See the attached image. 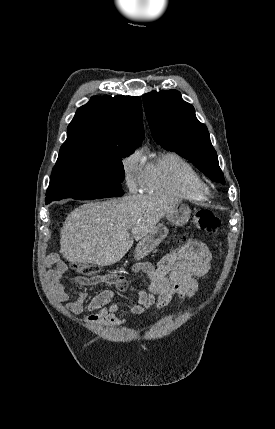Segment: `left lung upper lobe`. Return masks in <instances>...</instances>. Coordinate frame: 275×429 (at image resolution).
<instances>
[{"label":"left lung upper lobe","mask_w":275,"mask_h":429,"mask_svg":"<svg viewBox=\"0 0 275 429\" xmlns=\"http://www.w3.org/2000/svg\"><path fill=\"white\" fill-rule=\"evenodd\" d=\"M143 102L154 140L190 160L210 179L224 184L208 129L198 121L194 107L182 99L180 92L153 91L144 94Z\"/></svg>","instance_id":"1"}]
</instances>
